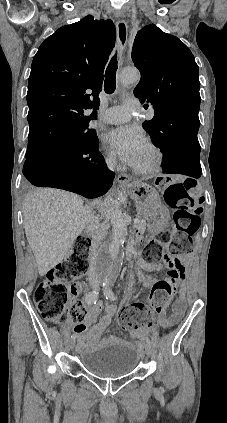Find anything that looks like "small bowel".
Wrapping results in <instances>:
<instances>
[{
  "label": "small bowel",
  "instance_id": "obj_1",
  "mask_svg": "<svg viewBox=\"0 0 227 423\" xmlns=\"http://www.w3.org/2000/svg\"><path fill=\"white\" fill-rule=\"evenodd\" d=\"M180 264L182 265V268L185 271V267L182 262H180ZM138 266L141 270L142 284L145 287L152 286L156 281L155 276L153 275V272L157 268L156 265L145 261L144 258H140L138 260ZM76 288V294H78L81 291V286L79 284H76ZM184 291V287H182L180 290L179 297L172 305V313L170 316H167L164 312L159 313L158 317L156 319H153L150 322L149 326L141 327L131 332V335L139 340L140 345L144 343L146 337L151 333L155 326L171 328L179 322L185 310ZM102 308H104L105 313L99 319V321H96ZM116 311L117 306L113 302H97L95 304H92V306L88 309H84L83 320L78 322L74 328L75 334L78 335V348L80 350L88 349L94 346L100 340L103 332L111 324L112 318L115 315ZM115 340L116 339L112 337H107L102 339V343H113Z\"/></svg>",
  "mask_w": 227,
  "mask_h": 423
}]
</instances>
